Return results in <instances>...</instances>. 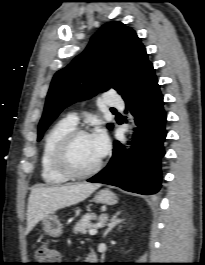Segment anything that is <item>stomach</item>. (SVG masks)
Instances as JSON below:
<instances>
[{"label": "stomach", "mask_w": 205, "mask_h": 265, "mask_svg": "<svg viewBox=\"0 0 205 265\" xmlns=\"http://www.w3.org/2000/svg\"><path fill=\"white\" fill-rule=\"evenodd\" d=\"M96 203L114 205L117 203L116 195L108 189H103L97 192L93 198ZM44 231L52 236L59 237L63 232V226L55 215H48L42 220Z\"/></svg>", "instance_id": "stomach-1"}]
</instances>
